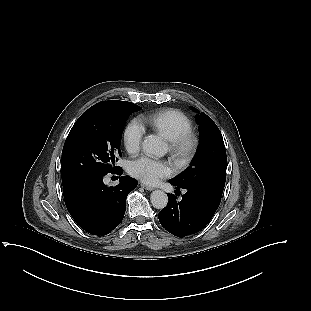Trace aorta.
<instances>
[{
    "label": "aorta",
    "instance_id": "obj_1",
    "mask_svg": "<svg viewBox=\"0 0 311 311\" xmlns=\"http://www.w3.org/2000/svg\"><path fill=\"white\" fill-rule=\"evenodd\" d=\"M142 149L147 155L162 157L166 154V144L162 139L155 135L147 136L143 143ZM151 203L156 209H163L167 206L168 196L162 190H154L150 196Z\"/></svg>",
    "mask_w": 311,
    "mask_h": 311
}]
</instances>
